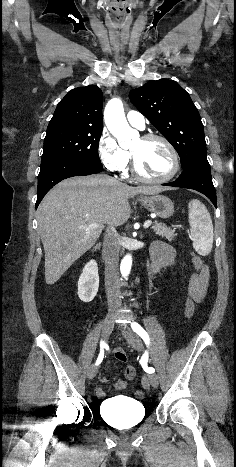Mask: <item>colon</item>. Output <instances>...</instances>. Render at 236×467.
Wrapping results in <instances>:
<instances>
[{
  "label": "colon",
  "mask_w": 236,
  "mask_h": 467,
  "mask_svg": "<svg viewBox=\"0 0 236 467\" xmlns=\"http://www.w3.org/2000/svg\"><path fill=\"white\" fill-rule=\"evenodd\" d=\"M192 262H193V265H194V267H195V269L197 271L201 270V268L204 265L203 260L197 254H192ZM193 315H194V304H193V301L191 299H188L187 302H186V316L188 318H191ZM116 359L119 360V361H124L126 359V356H125L124 353L118 352L116 354ZM143 385L147 386L146 380H143ZM143 395H144L143 392H141V391L137 392L138 397L141 398V397H143Z\"/></svg>",
  "instance_id": "obj_1"
}]
</instances>
